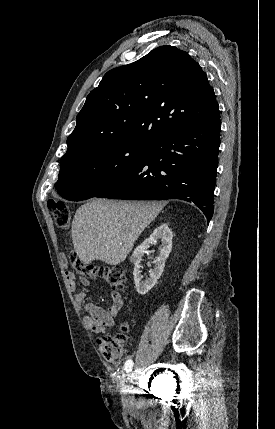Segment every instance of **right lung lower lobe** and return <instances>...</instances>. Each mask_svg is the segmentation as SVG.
Segmentation results:
<instances>
[{
	"mask_svg": "<svg viewBox=\"0 0 275 429\" xmlns=\"http://www.w3.org/2000/svg\"><path fill=\"white\" fill-rule=\"evenodd\" d=\"M221 121L171 131L149 144L143 162L95 197L112 199H181L195 203L209 222L220 146Z\"/></svg>",
	"mask_w": 275,
	"mask_h": 429,
	"instance_id": "right-lung-lower-lobe-1",
	"label": "right lung lower lobe"
}]
</instances>
